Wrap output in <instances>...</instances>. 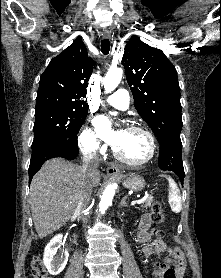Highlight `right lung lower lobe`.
I'll return each instance as SVG.
<instances>
[{"mask_svg": "<svg viewBox=\"0 0 221 278\" xmlns=\"http://www.w3.org/2000/svg\"><path fill=\"white\" fill-rule=\"evenodd\" d=\"M78 152L77 142L68 138H50L33 146L28 170L29 183L46 160L54 157L72 160Z\"/></svg>", "mask_w": 221, "mask_h": 278, "instance_id": "1", "label": "right lung lower lobe"}]
</instances>
